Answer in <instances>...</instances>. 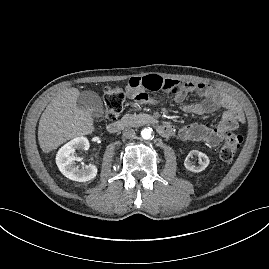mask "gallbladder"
<instances>
[{
	"label": "gallbladder",
	"mask_w": 269,
	"mask_h": 269,
	"mask_svg": "<svg viewBox=\"0 0 269 269\" xmlns=\"http://www.w3.org/2000/svg\"><path fill=\"white\" fill-rule=\"evenodd\" d=\"M76 104L79 109L90 113L94 118H100L104 114L102 100L94 91H82L77 98Z\"/></svg>",
	"instance_id": "bac80fb5"
}]
</instances>
